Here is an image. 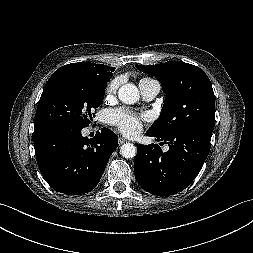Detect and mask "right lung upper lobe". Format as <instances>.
Masks as SVG:
<instances>
[{
  "mask_svg": "<svg viewBox=\"0 0 253 253\" xmlns=\"http://www.w3.org/2000/svg\"><path fill=\"white\" fill-rule=\"evenodd\" d=\"M60 69H78L82 71L91 72L99 76L108 77L111 79L114 67H109L103 64H91L90 62H80L67 64Z\"/></svg>",
  "mask_w": 253,
  "mask_h": 253,
  "instance_id": "right-lung-upper-lobe-1",
  "label": "right lung upper lobe"
}]
</instances>
